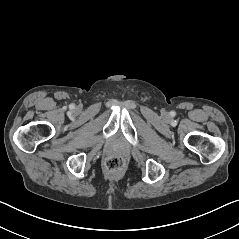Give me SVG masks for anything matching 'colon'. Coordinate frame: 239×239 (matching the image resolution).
<instances>
[{
  "label": "colon",
  "instance_id": "5ec220e1",
  "mask_svg": "<svg viewBox=\"0 0 239 239\" xmlns=\"http://www.w3.org/2000/svg\"><path fill=\"white\" fill-rule=\"evenodd\" d=\"M105 165L109 170H119L123 167L124 160L119 156H111L106 159Z\"/></svg>",
  "mask_w": 239,
  "mask_h": 239
}]
</instances>
